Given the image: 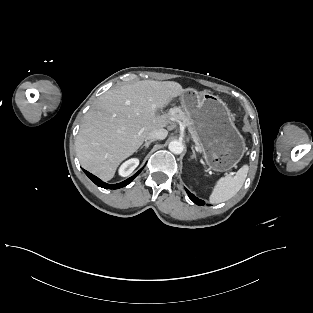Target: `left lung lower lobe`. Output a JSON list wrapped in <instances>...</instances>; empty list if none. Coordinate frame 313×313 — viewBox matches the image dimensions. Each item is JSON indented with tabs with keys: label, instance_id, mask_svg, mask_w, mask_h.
<instances>
[{
	"label": "left lung lower lobe",
	"instance_id": "left-lung-lower-lobe-1",
	"mask_svg": "<svg viewBox=\"0 0 313 313\" xmlns=\"http://www.w3.org/2000/svg\"><path fill=\"white\" fill-rule=\"evenodd\" d=\"M186 192H187L189 198H190L195 204L200 205V206L204 205V201H203V200L198 199L194 194L190 193L187 189H186Z\"/></svg>",
	"mask_w": 313,
	"mask_h": 313
}]
</instances>
